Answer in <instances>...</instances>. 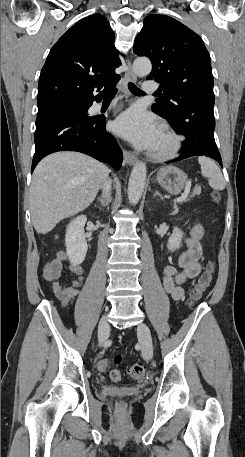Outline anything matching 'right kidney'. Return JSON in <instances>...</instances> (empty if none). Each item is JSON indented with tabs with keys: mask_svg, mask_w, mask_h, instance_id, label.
Wrapping results in <instances>:
<instances>
[{
	"mask_svg": "<svg viewBox=\"0 0 245 457\" xmlns=\"http://www.w3.org/2000/svg\"><path fill=\"white\" fill-rule=\"evenodd\" d=\"M86 220L87 216H85V214H80V216H76V218H73V220L69 222L66 229V253L73 267H79V265L83 263L88 251V245L84 233Z\"/></svg>",
	"mask_w": 245,
	"mask_h": 457,
	"instance_id": "1",
	"label": "right kidney"
}]
</instances>
